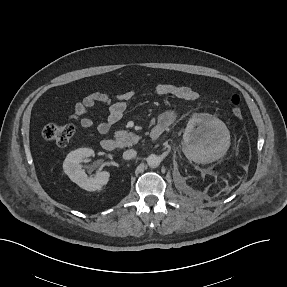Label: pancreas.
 Returning a JSON list of instances; mask_svg holds the SVG:
<instances>
[{"label":"pancreas","mask_w":287,"mask_h":287,"mask_svg":"<svg viewBox=\"0 0 287 287\" xmlns=\"http://www.w3.org/2000/svg\"><path fill=\"white\" fill-rule=\"evenodd\" d=\"M114 137L121 148L132 146L140 139L138 135L124 130L116 131Z\"/></svg>","instance_id":"pancreas-1"}]
</instances>
